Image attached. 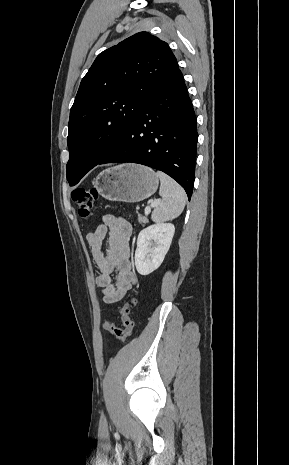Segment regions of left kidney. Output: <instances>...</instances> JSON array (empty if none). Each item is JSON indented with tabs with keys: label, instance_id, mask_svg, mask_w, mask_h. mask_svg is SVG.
<instances>
[{
	"label": "left kidney",
	"instance_id": "5707ae66",
	"mask_svg": "<svg viewBox=\"0 0 289 465\" xmlns=\"http://www.w3.org/2000/svg\"><path fill=\"white\" fill-rule=\"evenodd\" d=\"M175 227L171 223H157L143 229L137 238L135 266L140 275L155 271L167 254Z\"/></svg>",
	"mask_w": 289,
	"mask_h": 465
}]
</instances>
